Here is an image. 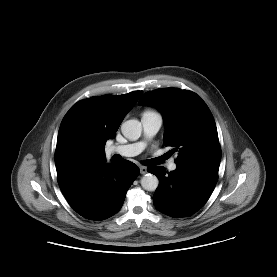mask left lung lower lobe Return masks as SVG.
Listing matches in <instances>:
<instances>
[{"instance_id": "obj_1", "label": "left lung lower lobe", "mask_w": 277, "mask_h": 277, "mask_svg": "<svg viewBox=\"0 0 277 277\" xmlns=\"http://www.w3.org/2000/svg\"><path fill=\"white\" fill-rule=\"evenodd\" d=\"M219 164L197 163L177 166L166 173L165 168L152 167L148 171L160 181L153 196L157 210L181 218L201 209L212 194L218 180Z\"/></svg>"}]
</instances>
